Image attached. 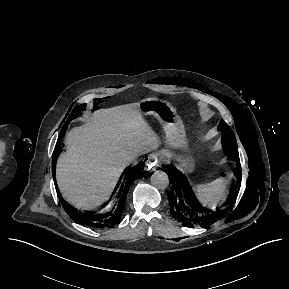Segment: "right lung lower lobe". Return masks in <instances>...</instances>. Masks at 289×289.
<instances>
[{"label": "right lung lower lobe", "mask_w": 289, "mask_h": 289, "mask_svg": "<svg viewBox=\"0 0 289 289\" xmlns=\"http://www.w3.org/2000/svg\"><path fill=\"white\" fill-rule=\"evenodd\" d=\"M66 128L67 126L66 127L64 126L62 128L53 153L52 165H53L54 179H56L55 177L56 161L61 151L60 144L62 137L65 131L67 130ZM143 167L144 162L139 164L138 166L131 168L130 170H126L123 172V175L120 177V180L118 181V184L113 192V199L110 207L102 213L86 214L78 211L69 203L64 201L58 190L60 202L63 208L66 210L67 214L77 223L95 228H108V227L111 228L115 226V224L120 222L128 190L131 184L136 179L143 177L144 174L142 173Z\"/></svg>", "instance_id": "right-lung-lower-lobe-1"}]
</instances>
